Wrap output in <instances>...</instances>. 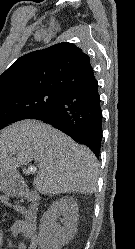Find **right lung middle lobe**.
I'll return each mask as SVG.
<instances>
[{
    "label": "right lung middle lobe",
    "mask_w": 135,
    "mask_h": 249,
    "mask_svg": "<svg viewBox=\"0 0 135 249\" xmlns=\"http://www.w3.org/2000/svg\"><path fill=\"white\" fill-rule=\"evenodd\" d=\"M63 93L33 91L19 95L0 96V129L29 118L33 113L57 100Z\"/></svg>",
    "instance_id": "right-lung-middle-lobe-1"
}]
</instances>
